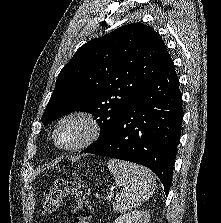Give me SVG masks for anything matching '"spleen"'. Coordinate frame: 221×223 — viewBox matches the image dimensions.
Returning a JSON list of instances; mask_svg holds the SVG:
<instances>
[{
    "instance_id": "3e777b00",
    "label": "spleen",
    "mask_w": 221,
    "mask_h": 223,
    "mask_svg": "<svg viewBox=\"0 0 221 223\" xmlns=\"http://www.w3.org/2000/svg\"><path fill=\"white\" fill-rule=\"evenodd\" d=\"M108 168L113 174L116 185L121 187V191L116 193L113 205L116 212L130 211L153 195L156 181L148 169L118 159L109 160Z\"/></svg>"
}]
</instances>
